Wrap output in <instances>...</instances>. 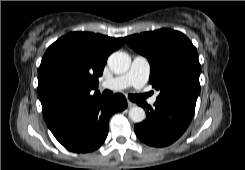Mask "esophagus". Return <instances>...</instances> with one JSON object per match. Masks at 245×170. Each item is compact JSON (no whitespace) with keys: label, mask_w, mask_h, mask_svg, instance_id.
Here are the masks:
<instances>
[{"label":"esophagus","mask_w":245,"mask_h":170,"mask_svg":"<svg viewBox=\"0 0 245 170\" xmlns=\"http://www.w3.org/2000/svg\"><path fill=\"white\" fill-rule=\"evenodd\" d=\"M127 103H128V107H129V108H131V107H133V106L136 105L135 103H133V102H131V101H129V100H128Z\"/></svg>","instance_id":"34e87169"}]
</instances>
